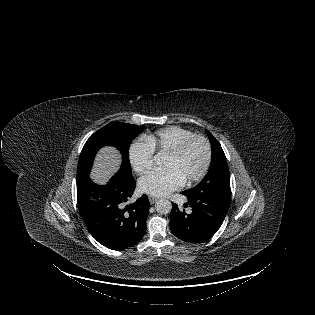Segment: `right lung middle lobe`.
<instances>
[{
    "label": "right lung middle lobe",
    "instance_id": "right-lung-middle-lobe-1",
    "mask_svg": "<svg viewBox=\"0 0 315 315\" xmlns=\"http://www.w3.org/2000/svg\"><path fill=\"white\" fill-rule=\"evenodd\" d=\"M142 131V128L136 125L111 122L92 134L81 151L77 178L89 175L93 160L103 146H114L120 151L123 162L118 173L133 178L129 161V146Z\"/></svg>",
    "mask_w": 315,
    "mask_h": 315
}]
</instances>
